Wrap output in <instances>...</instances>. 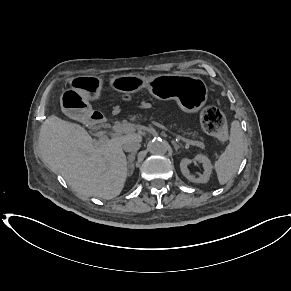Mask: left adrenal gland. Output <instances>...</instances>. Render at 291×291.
<instances>
[{
  "label": "left adrenal gland",
  "mask_w": 291,
  "mask_h": 291,
  "mask_svg": "<svg viewBox=\"0 0 291 291\" xmlns=\"http://www.w3.org/2000/svg\"><path fill=\"white\" fill-rule=\"evenodd\" d=\"M172 144L174 145L175 151L177 152L178 149L181 147V145L177 144L175 141H172Z\"/></svg>",
  "instance_id": "left-adrenal-gland-1"
}]
</instances>
